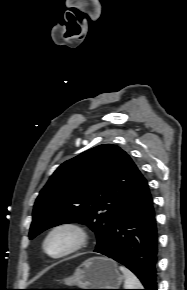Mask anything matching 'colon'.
Wrapping results in <instances>:
<instances>
[{"label":"colon","instance_id":"colon-1","mask_svg":"<svg viewBox=\"0 0 187 290\" xmlns=\"http://www.w3.org/2000/svg\"><path fill=\"white\" fill-rule=\"evenodd\" d=\"M30 290H77V289L67 288V289H30Z\"/></svg>","mask_w":187,"mask_h":290}]
</instances>
